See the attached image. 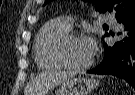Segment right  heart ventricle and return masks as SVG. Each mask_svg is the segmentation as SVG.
I'll return each instance as SVG.
<instances>
[{"instance_id":"e07e8e85","label":"right heart ventricle","mask_w":135,"mask_h":95,"mask_svg":"<svg viewBox=\"0 0 135 95\" xmlns=\"http://www.w3.org/2000/svg\"><path fill=\"white\" fill-rule=\"evenodd\" d=\"M70 31L62 19H52L39 30L35 43V61L40 69L51 70L62 68L56 57L55 49L60 38Z\"/></svg>"}]
</instances>
